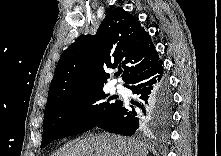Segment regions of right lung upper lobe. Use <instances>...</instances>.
Segmentation results:
<instances>
[{
    "instance_id": "1",
    "label": "right lung upper lobe",
    "mask_w": 221,
    "mask_h": 156,
    "mask_svg": "<svg viewBox=\"0 0 221 156\" xmlns=\"http://www.w3.org/2000/svg\"><path fill=\"white\" fill-rule=\"evenodd\" d=\"M158 61L151 37L138 18L116 8L105 16L96 35L79 36L63 52L49 88L46 108L72 92L103 89L109 78L104 68L122 66L126 84Z\"/></svg>"
}]
</instances>
